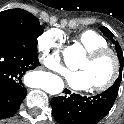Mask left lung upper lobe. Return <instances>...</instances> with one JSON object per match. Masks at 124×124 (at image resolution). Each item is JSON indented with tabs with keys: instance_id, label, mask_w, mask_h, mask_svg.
I'll return each mask as SVG.
<instances>
[{
	"instance_id": "obj_1",
	"label": "left lung upper lobe",
	"mask_w": 124,
	"mask_h": 124,
	"mask_svg": "<svg viewBox=\"0 0 124 124\" xmlns=\"http://www.w3.org/2000/svg\"><path fill=\"white\" fill-rule=\"evenodd\" d=\"M100 29H101L102 33L106 37H108L115 44V49L117 51L118 59H119V62H120V70H119V77L115 81L113 87H116L117 89H119V85H120V82L122 80V70H123V64H124V58H123L122 49H121L119 43L113 39L114 35H113V33L109 29H107L104 26H102Z\"/></svg>"
}]
</instances>
